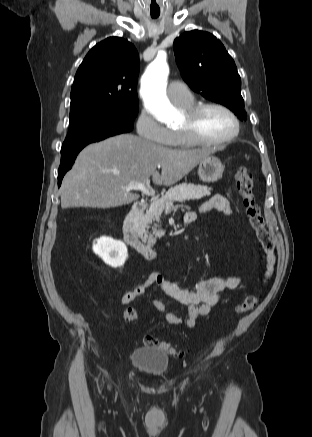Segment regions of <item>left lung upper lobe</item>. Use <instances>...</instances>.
I'll use <instances>...</instances> for the list:
<instances>
[{"label":"left lung upper lobe","instance_id":"obj_1","mask_svg":"<svg viewBox=\"0 0 312 437\" xmlns=\"http://www.w3.org/2000/svg\"><path fill=\"white\" fill-rule=\"evenodd\" d=\"M174 54L183 79L195 92L225 105L239 119L247 118L235 62L213 34L185 32L175 39Z\"/></svg>","mask_w":312,"mask_h":437}]
</instances>
